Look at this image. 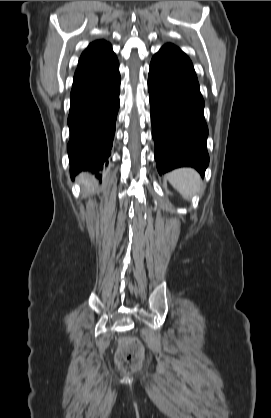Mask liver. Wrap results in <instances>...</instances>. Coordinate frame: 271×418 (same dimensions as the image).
<instances>
[{
  "label": "liver",
  "mask_w": 271,
  "mask_h": 418,
  "mask_svg": "<svg viewBox=\"0 0 271 418\" xmlns=\"http://www.w3.org/2000/svg\"><path fill=\"white\" fill-rule=\"evenodd\" d=\"M79 181L84 185V186H89L90 185V178L88 175L86 174H82L79 177Z\"/></svg>",
  "instance_id": "obj_1"
}]
</instances>
